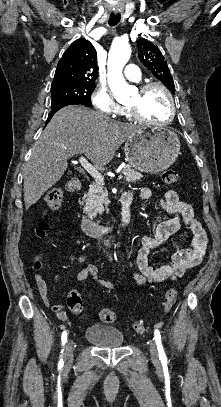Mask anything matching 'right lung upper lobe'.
Returning a JSON list of instances; mask_svg holds the SVG:
<instances>
[{
    "instance_id": "obj_1",
    "label": "right lung upper lobe",
    "mask_w": 221,
    "mask_h": 407,
    "mask_svg": "<svg viewBox=\"0 0 221 407\" xmlns=\"http://www.w3.org/2000/svg\"><path fill=\"white\" fill-rule=\"evenodd\" d=\"M97 53L86 39H77L58 62L51 89L73 83H94L97 78Z\"/></svg>"
}]
</instances>
